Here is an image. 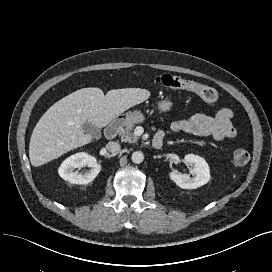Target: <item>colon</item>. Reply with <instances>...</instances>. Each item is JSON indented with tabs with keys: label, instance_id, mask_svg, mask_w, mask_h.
<instances>
[{
	"label": "colon",
	"instance_id": "colon-1",
	"mask_svg": "<svg viewBox=\"0 0 272 272\" xmlns=\"http://www.w3.org/2000/svg\"><path fill=\"white\" fill-rule=\"evenodd\" d=\"M156 84L170 91L192 92L207 103H213L218 99V93L213 87L194 81L185 80L169 74L158 76L156 78ZM249 159L250 155L244 149H237L233 153V161L238 167L247 165Z\"/></svg>",
	"mask_w": 272,
	"mask_h": 272
}]
</instances>
